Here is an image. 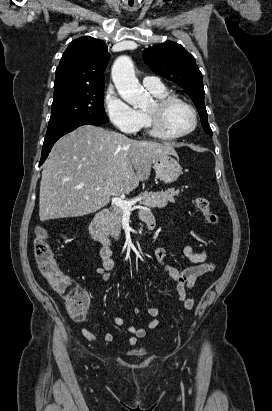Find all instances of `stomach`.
<instances>
[{"instance_id": "obj_1", "label": "stomach", "mask_w": 272, "mask_h": 411, "mask_svg": "<svg viewBox=\"0 0 272 411\" xmlns=\"http://www.w3.org/2000/svg\"><path fill=\"white\" fill-rule=\"evenodd\" d=\"M152 164L157 178L164 183L176 181L182 172L179 162L168 155L155 158Z\"/></svg>"}]
</instances>
